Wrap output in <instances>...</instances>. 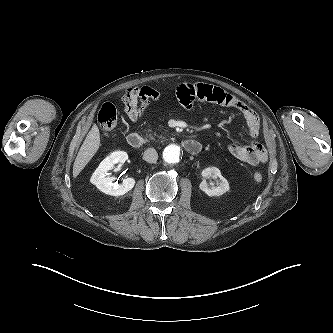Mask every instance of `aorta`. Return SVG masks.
<instances>
[{
  "instance_id": "762f6f07",
  "label": "aorta",
  "mask_w": 333,
  "mask_h": 333,
  "mask_svg": "<svg viewBox=\"0 0 333 333\" xmlns=\"http://www.w3.org/2000/svg\"><path fill=\"white\" fill-rule=\"evenodd\" d=\"M181 154V149L178 145L171 144L168 145L163 151V159L167 163H177L179 162Z\"/></svg>"
}]
</instances>
